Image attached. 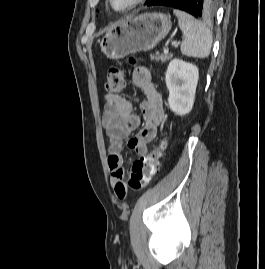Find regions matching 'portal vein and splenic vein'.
I'll return each mask as SVG.
<instances>
[{"mask_svg": "<svg viewBox=\"0 0 265 269\" xmlns=\"http://www.w3.org/2000/svg\"><path fill=\"white\" fill-rule=\"evenodd\" d=\"M172 46L177 47L178 43L177 42H173ZM164 53H168V49H164Z\"/></svg>", "mask_w": 265, "mask_h": 269, "instance_id": "1", "label": "portal vein and splenic vein"}]
</instances>
